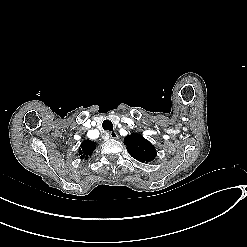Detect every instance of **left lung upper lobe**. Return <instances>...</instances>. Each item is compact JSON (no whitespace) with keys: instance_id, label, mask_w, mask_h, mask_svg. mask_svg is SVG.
<instances>
[{"instance_id":"5c2ea615","label":"left lung upper lobe","mask_w":247,"mask_h":247,"mask_svg":"<svg viewBox=\"0 0 247 247\" xmlns=\"http://www.w3.org/2000/svg\"><path fill=\"white\" fill-rule=\"evenodd\" d=\"M128 153L142 163L151 162L156 157L155 147L141 134L132 133L124 139Z\"/></svg>"}]
</instances>
